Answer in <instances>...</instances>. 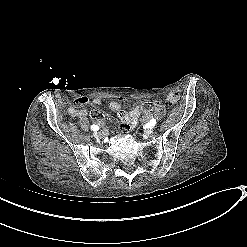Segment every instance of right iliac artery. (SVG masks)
<instances>
[{
	"mask_svg": "<svg viewBox=\"0 0 247 247\" xmlns=\"http://www.w3.org/2000/svg\"><path fill=\"white\" fill-rule=\"evenodd\" d=\"M99 129V127L97 125H92L91 126V130L93 131H97Z\"/></svg>",
	"mask_w": 247,
	"mask_h": 247,
	"instance_id": "right-iliac-artery-1",
	"label": "right iliac artery"
}]
</instances>
